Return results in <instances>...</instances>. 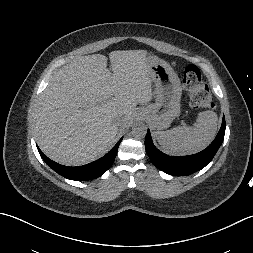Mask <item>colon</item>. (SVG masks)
<instances>
[{"mask_svg": "<svg viewBox=\"0 0 253 253\" xmlns=\"http://www.w3.org/2000/svg\"><path fill=\"white\" fill-rule=\"evenodd\" d=\"M183 87L188 93L190 104L194 109L208 110L214 108L209 88L197 66L188 65L185 68Z\"/></svg>", "mask_w": 253, "mask_h": 253, "instance_id": "5ec220e1", "label": "colon"}]
</instances>
